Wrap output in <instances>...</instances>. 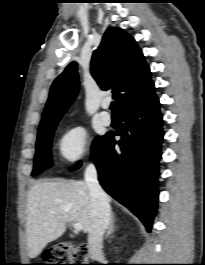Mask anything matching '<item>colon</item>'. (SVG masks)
Listing matches in <instances>:
<instances>
[{
  "label": "colon",
  "mask_w": 205,
  "mask_h": 265,
  "mask_svg": "<svg viewBox=\"0 0 205 265\" xmlns=\"http://www.w3.org/2000/svg\"><path fill=\"white\" fill-rule=\"evenodd\" d=\"M44 265H89L88 248L85 245L58 244L44 254Z\"/></svg>",
  "instance_id": "colon-1"
}]
</instances>
